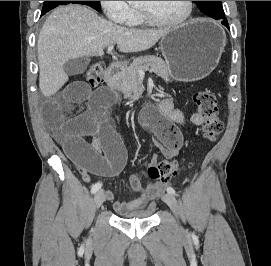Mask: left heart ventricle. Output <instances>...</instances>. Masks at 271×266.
Masks as SVG:
<instances>
[{"label": "left heart ventricle", "mask_w": 271, "mask_h": 266, "mask_svg": "<svg viewBox=\"0 0 271 266\" xmlns=\"http://www.w3.org/2000/svg\"><path fill=\"white\" fill-rule=\"evenodd\" d=\"M139 7L146 8L162 20H177L187 10L186 1H140Z\"/></svg>", "instance_id": "left-heart-ventricle-1"}]
</instances>
